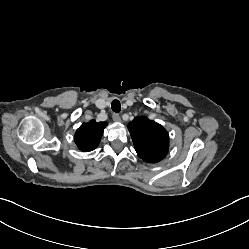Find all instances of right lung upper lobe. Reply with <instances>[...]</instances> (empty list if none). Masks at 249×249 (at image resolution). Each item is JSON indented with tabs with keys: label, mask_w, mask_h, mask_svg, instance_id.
<instances>
[{
	"label": "right lung upper lobe",
	"mask_w": 249,
	"mask_h": 249,
	"mask_svg": "<svg viewBox=\"0 0 249 249\" xmlns=\"http://www.w3.org/2000/svg\"><path fill=\"white\" fill-rule=\"evenodd\" d=\"M106 126V122L97 123L95 120L83 123L75 133V142L78 148L83 152L94 150L98 146Z\"/></svg>",
	"instance_id": "obj_1"
}]
</instances>
